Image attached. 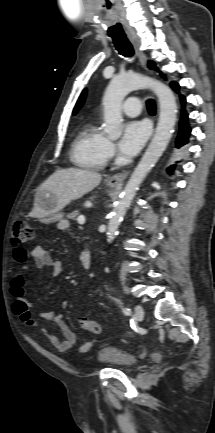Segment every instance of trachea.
Instances as JSON below:
<instances>
[{"label":"trachea","mask_w":215,"mask_h":433,"mask_svg":"<svg viewBox=\"0 0 215 433\" xmlns=\"http://www.w3.org/2000/svg\"><path fill=\"white\" fill-rule=\"evenodd\" d=\"M113 39V43L117 49V51L125 56V57H132L134 54L133 47L129 40L127 39L126 35H114L111 36ZM148 111L150 113H155L156 105L155 102L152 99L147 100L146 102Z\"/></svg>","instance_id":"3493384b"}]
</instances>
